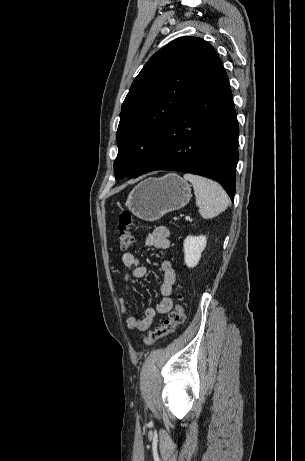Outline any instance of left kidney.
<instances>
[{
	"label": "left kidney",
	"instance_id": "5707ae66",
	"mask_svg": "<svg viewBox=\"0 0 305 461\" xmlns=\"http://www.w3.org/2000/svg\"><path fill=\"white\" fill-rule=\"evenodd\" d=\"M207 238L206 236H188L184 240V260L185 264L189 268L195 267L200 258L201 253L206 247Z\"/></svg>",
	"mask_w": 305,
	"mask_h": 461
}]
</instances>
